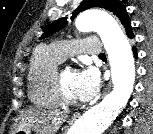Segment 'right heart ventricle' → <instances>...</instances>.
<instances>
[{"label": "right heart ventricle", "instance_id": "1", "mask_svg": "<svg viewBox=\"0 0 153 134\" xmlns=\"http://www.w3.org/2000/svg\"><path fill=\"white\" fill-rule=\"evenodd\" d=\"M62 62L48 46L37 47L27 72L28 94L32 103L40 107L57 108L62 105L54 86V74Z\"/></svg>", "mask_w": 153, "mask_h": 134}]
</instances>
